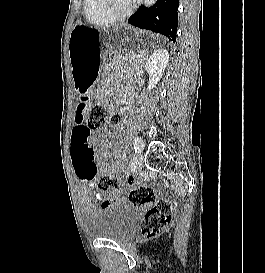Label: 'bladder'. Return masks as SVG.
<instances>
[{
    "instance_id": "bladder-1",
    "label": "bladder",
    "mask_w": 265,
    "mask_h": 273,
    "mask_svg": "<svg viewBox=\"0 0 265 273\" xmlns=\"http://www.w3.org/2000/svg\"><path fill=\"white\" fill-rule=\"evenodd\" d=\"M138 219L135 206L113 204L88 213L83 219V225L91 238L122 242L136 232Z\"/></svg>"
}]
</instances>
